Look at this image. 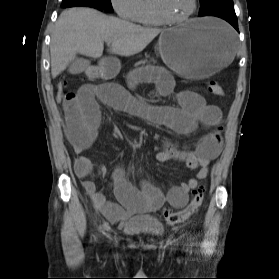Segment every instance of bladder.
<instances>
[{
    "label": "bladder",
    "instance_id": "bladder-1",
    "mask_svg": "<svg viewBox=\"0 0 279 279\" xmlns=\"http://www.w3.org/2000/svg\"><path fill=\"white\" fill-rule=\"evenodd\" d=\"M123 230L130 235H148L157 237L162 233V223L154 216H138L128 218L123 224Z\"/></svg>",
    "mask_w": 279,
    "mask_h": 279
}]
</instances>
